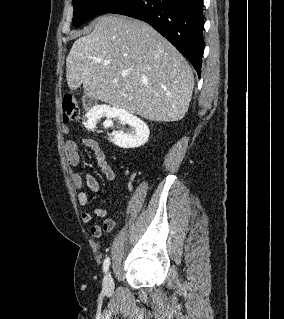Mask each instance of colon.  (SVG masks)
I'll list each match as a JSON object with an SVG mask.
<instances>
[{
    "label": "colon",
    "mask_w": 284,
    "mask_h": 319,
    "mask_svg": "<svg viewBox=\"0 0 284 319\" xmlns=\"http://www.w3.org/2000/svg\"><path fill=\"white\" fill-rule=\"evenodd\" d=\"M80 115V106L76 96L66 93L62 102V116L65 123L77 119Z\"/></svg>",
    "instance_id": "1"
}]
</instances>
